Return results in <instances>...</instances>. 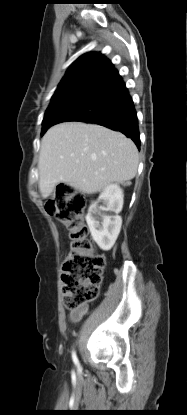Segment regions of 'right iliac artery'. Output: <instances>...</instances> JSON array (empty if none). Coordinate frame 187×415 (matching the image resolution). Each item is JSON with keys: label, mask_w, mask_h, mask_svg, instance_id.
Wrapping results in <instances>:
<instances>
[{"label": "right iliac artery", "mask_w": 187, "mask_h": 415, "mask_svg": "<svg viewBox=\"0 0 187 415\" xmlns=\"http://www.w3.org/2000/svg\"><path fill=\"white\" fill-rule=\"evenodd\" d=\"M72 358H73L74 363L79 367V361L74 351L72 352Z\"/></svg>", "instance_id": "1"}]
</instances>
